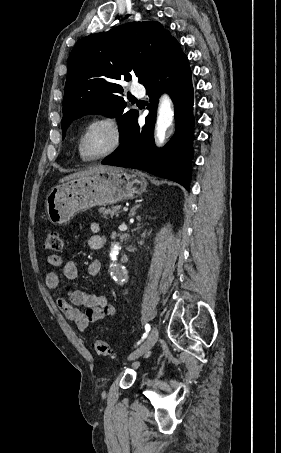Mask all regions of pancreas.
<instances>
[{"label":"pancreas","mask_w":281,"mask_h":453,"mask_svg":"<svg viewBox=\"0 0 281 453\" xmlns=\"http://www.w3.org/2000/svg\"><path fill=\"white\" fill-rule=\"evenodd\" d=\"M119 208L120 206H113V208H105V206H101L99 210L100 212H102V216H104V218H107V216H111V218H113L114 214H116V216H119Z\"/></svg>","instance_id":"pancreas-1"}]
</instances>
